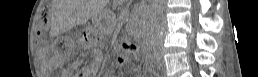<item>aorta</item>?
<instances>
[{"instance_id":"aorta-1","label":"aorta","mask_w":258,"mask_h":77,"mask_svg":"<svg viewBox=\"0 0 258 77\" xmlns=\"http://www.w3.org/2000/svg\"><path fill=\"white\" fill-rule=\"evenodd\" d=\"M164 10V0H153L151 9L149 11V17L152 21H155L161 16Z\"/></svg>"}]
</instances>
